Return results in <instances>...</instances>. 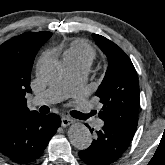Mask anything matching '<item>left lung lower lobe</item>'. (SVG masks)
<instances>
[{"label":"left lung lower lobe","instance_id":"0a47b994","mask_svg":"<svg viewBox=\"0 0 165 165\" xmlns=\"http://www.w3.org/2000/svg\"><path fill=\"white\" fill-rule=\"evenodd\" d=\"M94 129L91 130L93 133ZM132 135L109 125L96 131L91 146L79 152V157L87 165H108L118 160L128 148Z\"/></svg>","mask_w":165,"mask_h":165}]
</instances>
